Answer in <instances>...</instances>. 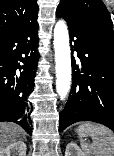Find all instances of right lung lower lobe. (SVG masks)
Listing matches in <instances>:
<instances>
[{
    "mask_svg": "<svg viewBox=\"0 0 114 156\" xmlns=\"http://www.w3.org/2000/svg\"><path fill=\"white\" fill-rule=\"evenodd\" d=\"M37 19L0 36V122L11 121L32 134L28 96L39 60Z\"/></svg>",
    "mask_w": 114,
    "mask_h": 156,
    "instance_id": "1",
    "label": "right lung lower lobe"
}]
</instances>
